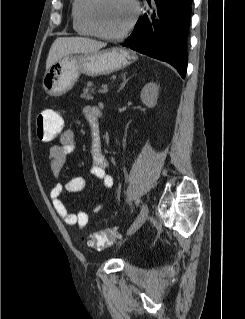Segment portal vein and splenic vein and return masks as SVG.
Listing matches in <instances>:
<instances>
[{"label": "portal vein and splenic vein", "mask_w": 245, "mask_h": 319, "mask_svg": "<svg viewBox=\"0 0 245 319\" xmlns=\"http://www.w3.org/2000/svg\"><path fill=\"white\" fill-rule=\"evenodd\" d=\"M108 91H109V89H108L107 87H105V88L100 89L98 92H99L100 94H107Z\"/></svg>", "instance_id": "18ae733b"}]
</instances>
